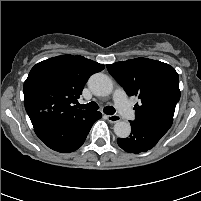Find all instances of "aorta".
Returning a JSON list of instances; mask_svg holds the SVG:
<instances>
[{"instance_id": "1", "label": "aorta", "mask_w": 201, "mask_h": 201, "mask_svg": "<svg viewBox=\"0 0 201 201\" xmlns=\"http://www.w3.org/2000/svg\"><path fill=\"white\" fill-rule=\"evenodd\" d=\"M88 86L96 96H108L113 91L111 78L103 73L92 75ZM114 132L119 138H127L131 133V126L126 121H118L114 125Z\"/></svg>"}]
</instances>
